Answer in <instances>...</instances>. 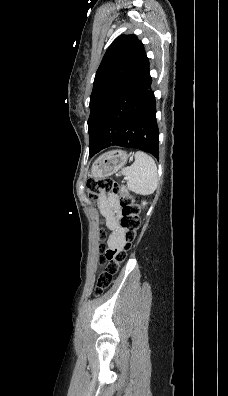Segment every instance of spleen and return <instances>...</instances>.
Masks as SVG:
<instances>
[{"instance_id":"3e777b00","label":"spleen","mask_w":228,"mask_h":396,"mask_svg":"<svg viewBox=\"0 0 228 396\" xmlns=\"http://www.w3.org/2000/svg\"><path fill=\"white\" fill-rule=\"evenodd\" d=\"M128 188L141 195L152 194L158 186L157 166L151 156L138 151L134 163L122 170Z\"/></svg>"}]
</instances>
